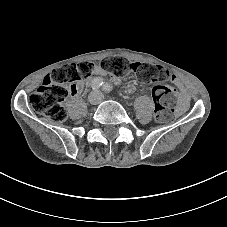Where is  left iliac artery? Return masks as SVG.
I'll return each instance as SVG.
<instances>
[{"label":"left iliac artery","instance_id":"1","mask_svg":"<svg viewBox=\"0 0 227 227\" xmlns=\"http://www.w3.org/2000/svg\"><path fill=\"white\" fill-rule=\"evenodd\" d=\"M103 91L106 92V93H110L112 91V86L108 83H105L103 85Z\"/></svg>","mask_w":227,"mask_h":227}]
</instances>
